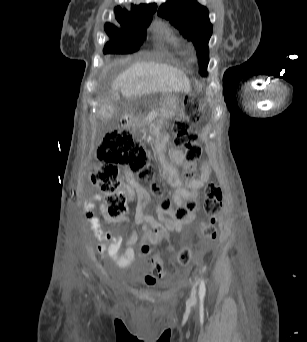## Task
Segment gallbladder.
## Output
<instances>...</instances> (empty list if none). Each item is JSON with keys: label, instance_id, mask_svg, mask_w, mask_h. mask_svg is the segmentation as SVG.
I'll list each match as a JSON object with an SVG mask.
<instances>
[{"label": "gallbladder", "instance_id": "obj_1", "mask_svg": "<svg viewBox=\"0 0 307 342\" xmlns=\"http://www.w3.org/2000/svg\"><path fill=\"white\" fill-rule=\"evenodd\" d=\"M113 101H117L119 98L116 96H113L112 98H111ZM103 109L106 107L104 104L101 106ZM101 117L102 118H108L109 117V112L108 111H102L101 112Z\"/></svg>", "mask_w": 307, "mask_h": 342}]
</instances>
